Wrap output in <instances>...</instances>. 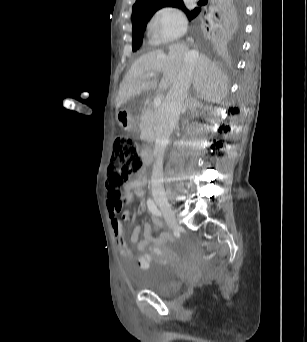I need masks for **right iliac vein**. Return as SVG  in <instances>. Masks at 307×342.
<instances>
[{"label": "right iliac vein", "instance_id": "63e3f726", "mask_svg": "<svg viewBox=\"0 0 307 342\" xmlns=\"http://www.w3.org/2000/svg\"><path fill=\"white\" fill-rule=\"evenodd\" d=\"M155 201H156V204L160 207V210L167 224L169 225L170 229L175 230L179 228V224L177 222L175 213L170 203L168 202L167 198L163 196H159L155 199Z\"/></svg>", "mask_w": 307, "mask_h": 342}]
</instances>
